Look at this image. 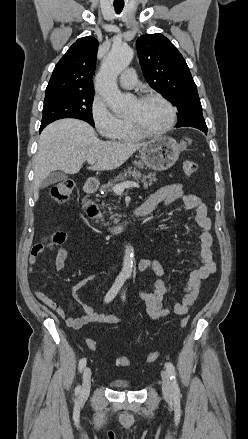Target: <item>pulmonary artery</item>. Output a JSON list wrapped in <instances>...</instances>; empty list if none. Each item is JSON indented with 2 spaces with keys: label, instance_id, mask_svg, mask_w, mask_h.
Returning a JSON list of instances; mask_svg holds the SVG:
<instances>
[{
  "label": "pulmonary artery",
  "instance_id": "1",
  "mask_svg": "<svg viewBox=\"0 0 248 439\" xmlns=\"http://www.w3.org/2000/svg\"><path fill=\"white\" fill-rule=\"evenodd\" d=\"M136 73L133 69L126 70L120 77L119 83L122 88L131 89L136 86Z\"/></svg>",
  "mask_w": 248,
  "mask_h": 439
}]
</instances>
